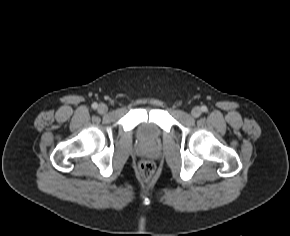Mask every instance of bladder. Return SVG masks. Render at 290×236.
<instances>
[{
  "instance_id": "obj_1",
  "label": "bladder",
  "mask_w": 290,
  "mask_h": 236,
  "mask_svg": "<svg viewBox=\"0 0 290 236\" xmlns=\"http://www.w3.org/2000/svg\"><path fill=\"white\" fill-rule=\"evenodd\" d=\"M140 136L143 140H153L158 134V128L154 123H142L139 128Z\"/></svg>"
}]
</instances>
